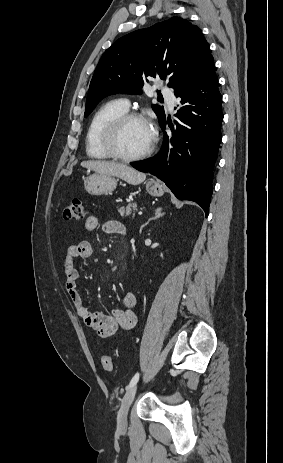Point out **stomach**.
Here are the masks:
<instances>
[{
	"label": "stomach",
	"mask_w": 283,
	"mask_h": 463,
	"mask_svg": "<svg viewBox=\"0 0 283 463\" xmlns=\"http://www.w3.org/2000/svg\"><path fill=\"white\" fill-rule=\"evenodd\" d=\"M118 179L114 176L93 174L84 181L85 190L92 195H102L112 193L117 187ZM147 192L154 197H160L164 194L163 185L154 179L146 183Z\"/></svg>",
	"instance_id": "obj_1"
}]
</instances>
